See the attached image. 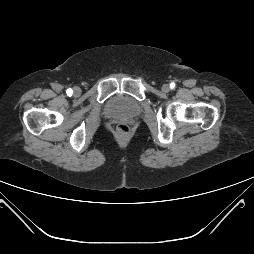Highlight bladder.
Here are the masks:
<instances>
[{"instance_id":"obj_1","label":"bladder","mask_w":254,"mask_h":254,"mask_svg":"<svg viewBox=\"0 0 254 254\" xmlns=\"http://www.w3.org/2000/svg\"><path fill=\"white\" fill-rule=\"evenodd\" d=\"M138 101L130 96L117 94L109 98L104 107V113L111 118H134L141 114Z\"/></svg>"}]
</instances>
